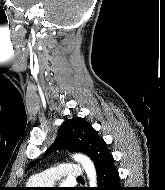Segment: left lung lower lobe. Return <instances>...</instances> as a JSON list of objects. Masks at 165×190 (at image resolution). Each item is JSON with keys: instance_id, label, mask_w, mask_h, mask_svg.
Returning <instances> with one entry per match:
<instances>
[{"instance_id": "0a47b994", "label": "left lung lower lobe", "mask_w": 165, "mask_h": 190, "mask_svg": "<svg viewBox=\"0 0 165 190\" xmlns=\"http://www.w3.org/2000/svg\"><path fill=\"white\" fill-rule=\"evenodd\" d=\"M99 187L96 190H120L119 173L111 154L95 164Z\"/></svg>"}]
</instances>
